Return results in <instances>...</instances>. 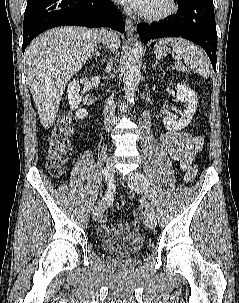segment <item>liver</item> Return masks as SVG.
I'll return each instance as SVG.
<instances>
[{
    "label": "liver",
    "mask_w": 239,
    "mask_h": 303,
    "mask_svg": "<svg viewBox=\"0 0 239 303\" xmlns=\"http://www.w3.org/2000/svg\"><path fill=\"white\" fill-rule=\"evenodd\" d=\"M98 41L97 29L64 26L46 31L28 45L27 83L45 129L54 123L67 82L84 66ZM105 46L117 51L119 35L111 33Z\"/></svg>",
    "instance_id": "1"
}]
</instances>
